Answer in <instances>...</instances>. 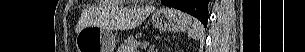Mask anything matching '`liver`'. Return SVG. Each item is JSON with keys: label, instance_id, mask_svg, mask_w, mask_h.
Returning <instances> with one entry per match:
<instances>
[{"label": "liver", "instance_id": "1", "mask_svg": "<svg viewBox=\"0 0 305 52\" xmlns=\"http://www.w3.org/2000/svg\"><path fill=\"white\" fill-rule=\"evenodd\" d=\"M153 12L152 7L129 8L114 5L108 13L109 27L115 30H128L141 24L150 13ZM95 25L93 19L89 17L88 12L84 11L81 15L79 23L76 27V33L87 26Z\"/></svg>", "mask_w": 305, "mask_h": 52}]
</instances>
